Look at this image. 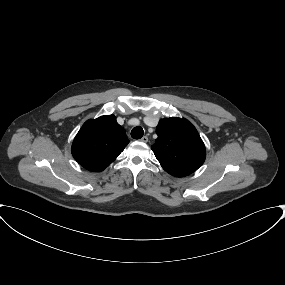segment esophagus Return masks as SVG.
<instances>
[{"label":"esophagus","instance_id":"1","mask_svg":"<svg viewBox=\"0 0 285 285\" xmlns=\"http://www.w3.org/2000/svg\"><path fill=\"white\" fill-rule=\"evenodd\" d=\"M141 142L143 143H146L148 142V137L147 136H143L141 139H140Z\"/></svg>","mask_w":285,"mask_h":285}]
</instances>
